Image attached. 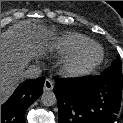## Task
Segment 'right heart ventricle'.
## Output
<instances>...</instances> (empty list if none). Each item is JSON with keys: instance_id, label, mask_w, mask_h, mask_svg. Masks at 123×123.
I'll use <instances>...</instances> for the list:
<instances>
[{"instance_id": "1", "label": "right heart ventricle", "mask_w": 123, "mask_h": 123, "mask_svg": "<svg viewBox=\"0 0 123 123\" xmlns=\"http://www.w3.org/2000/svg\"><path fill=\"white\" fill-rule=\"evenodd\" d=\"M88 42V39L77 33H67L58 37L52 44L54 54L67 56Z\"/></svg>"}]
</instances>
